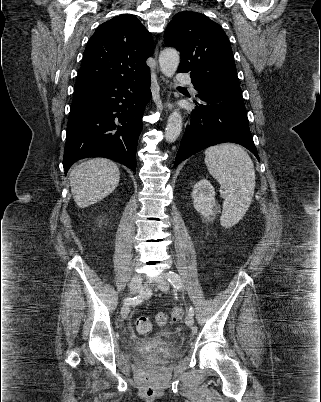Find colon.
Listing matches in <instances>:
<instances>
[{"label": "colon", "instance_id": "colon-1", "mask_svg": "<svg viewBox=\"0 0 321 402\" xmlns=\"http://www.w3.org/2000/svg\"><path fill=\"white\" fill-rule=\"evenodd\" d=\"M183 316V309L176 307L172 310L169 316L165 314H159L158 320L160 323L167 324L170 321H177ZM135 327L139 333L145 334L151 331L152 324L147 317H138L135 321Z\"/></svg>", "mask_w": 321, "mask_h": 402}]
</instances>
